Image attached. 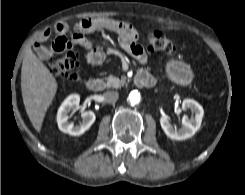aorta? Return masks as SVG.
<instances>
[{"label": "aorta", "instance_id": "1", "mask_svg": "<svg viewBox=\"0 0 245 195\" xmlns=\"http://www.w3.org/2000/svg\"><path fill=\"white\" fill-rule=\"evenodd\" d=\"M128 100L131 105H136L140 102V94L138 91H132L129 94Z\"/></svg>", "mask_w": 245, "mask_h": 195}]
</instances>
